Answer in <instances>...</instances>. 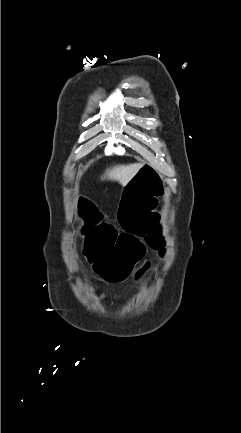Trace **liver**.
Here are the masks:
<instances>
[{
    "label": "liver",
    "instance_id": "1",
    "mask_svg": "<svg viewBox=\"0 0 241 433\" xmlns=\"http://www.w3.org/2000/svg\"><path fill=\"white\" fill-rule=\"evenodd\" d=\"M142 167V164L134 163L128 165H117L111 169H108L102 177L109 180L118 181L121 185L127 184Z\"/></svg>",
    "mask_w": 241,
    "mask_h": 433
}]
</instances>
